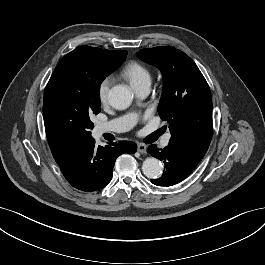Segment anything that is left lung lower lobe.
Returning a JSON list of instances; mask_svg holds the SVG:
<instances>
[{"label":"left lung lower lobe","mask_w":265,"mask_h":265,"mask_svg":"<svg viewBox=\"0 0 265 265\" xmlns=\"http://www.w3.org/2000/svg\"><path fill=\"white\" fill-rule=\"evenodd\" d=\"M148 152L165 164L163 175L151 180L157 186H172L179 183L194 169L168 146L159 150L156 145H150Z\"/></svg>","instance_id":"1"}]
</instances>
